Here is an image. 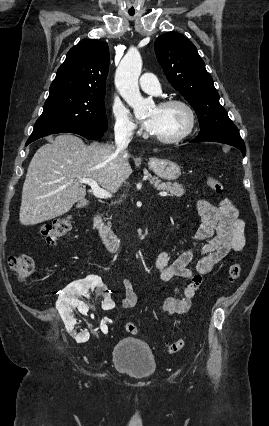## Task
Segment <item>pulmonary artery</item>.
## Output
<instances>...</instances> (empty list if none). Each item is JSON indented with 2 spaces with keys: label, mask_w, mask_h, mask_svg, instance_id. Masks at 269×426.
<instances>
[{
  "label": "pulmonary artery",
  "mask_w": 269,
  "mask_h": 426,
  "mask_svg": "<svg viewBox=\"0 0 269 426\" xmlns=\"http://www.w3.org/2000/svg\"><path fill=\"white\" fill-rule=\"evenodd\" d=\"M141 89L148 93H159L160 84L158 78L153 73H144L139 79Z\"/></svg>",
  "instance_id": "e3ab8cb5"
}]
</instances>
